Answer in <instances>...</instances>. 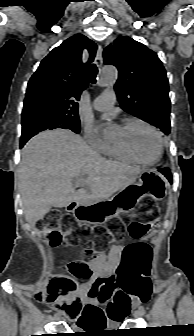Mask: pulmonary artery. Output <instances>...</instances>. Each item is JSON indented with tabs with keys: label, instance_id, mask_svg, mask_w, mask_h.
<instances>
[{
	"label": "pulmonary artery",
	"instance_id": "e3ab8cb5",
	"mask_svg": "<svg viewBox=\"0 0 194 336\" xmlns=\"http://www.w3.org/2000/svg\"><path fill=\"white\" fill-rule=\"evenodd\" d=\"M115 102V94L111 90L104 91L93 102V108L100 112H109Z\"/></svg>",
	"mask_w": 194,
	"mask_h": 336
}]
</instances>
